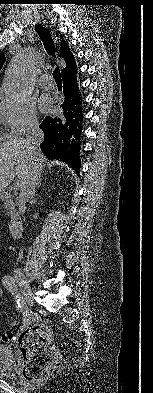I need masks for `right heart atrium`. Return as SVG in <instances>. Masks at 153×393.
Segmentation results:
<instances>
[{"mask_svg":"<svg viewBox=\"0 0 153 393\" xmlns=\"http://www.w3.org/2000/svg\"><path fill=\"white\" fill-rule=\"evenodd\" d=\"M0 121L11 135H23L38 126L35 105L30 101L7 100L0 107Z\"/></svg>","mask_w":153,"mask_h":393,"instance_id":"obj_1","label":"right heart atrium"}]
</instances>
